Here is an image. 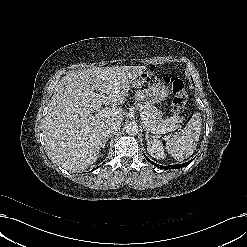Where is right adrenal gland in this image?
I'll list each match as a JSON object with an SVG mask.
<instances>
[{
	"label": "right adrenal gland",
	"mask_w": 247,
	"mask_h": 247,
	"mask_svg": "<svg viewBox=\"0 0 247 247\" xmlns=\"http://www.w3.org/2000/svg\"><path fill=\"white\" fill-rule=\"evenodd\" d=\"M113 135H105L102 139V147H105L106 142L112 137Z\"/></svg>",
	"instance_id": "1"
}]
</instances>
